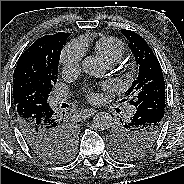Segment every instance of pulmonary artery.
Here are the masks:
<instances>
[{"label": "pulmonary artery", "instance_id": "obj_1", "mask_svg": "<svg viewBox=\"0 0 184 184\" xmlns=\"http://www.w3.org/2000/svg\"><path fill=\"white\" fill-rule=\"evenodd\" d=\"M67 100V95L65 93H56L54 96H53V104L54 105H59L61 103H63L64 101ZM135 112V107L134 106H130L128 108V113L131 115Z\"/></svg>", "mask_w": 184, "mask_h": 184}]
</instances>
